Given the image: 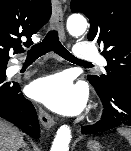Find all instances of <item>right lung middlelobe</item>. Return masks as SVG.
Wrapping results in <instances>:
<instances>
[{"instance_id": "right-lung-middle-lobe-1", "label": "right lung middle lobe", "mask_w": 131, "mask_h": 151, "mask_svg": "<svg viewBox=\"0 0 131 151\" xmlns=\"http://www.w3.org/2000/svg\"><path fill=\"white\" fill-rule=\"evenodd\" d=\"M6 66H7L6 62L0 63V78L6 77L5 75Z\"/></svg>"}]
</instances>
